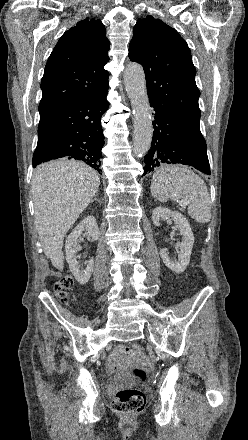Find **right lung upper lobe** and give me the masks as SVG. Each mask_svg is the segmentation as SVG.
Listing matches in <instances>:
<instances>
[{
    "instance_id": "cb5924a9",
    "label": "right lung upper lobe",
    "mask_w": 248,
    "mask_h": 440,
    "mask_svg": "<svg viewBox=\"0 0 248 440\" xmlns=\"http://www.w3.org/2000/svg\"><path fill=\"white\" fill-rule=\"evenodd\" d=\"M100 20L84 19L66 31L45 66L39 112L44 113L78 97L108 89L109 41Z\"/></svg>"
}]
</instances>
